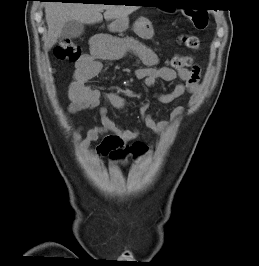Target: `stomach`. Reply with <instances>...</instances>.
<instances>
[{
	"label": "stomach",
	"mask_w": 259,
	"mask_h": 266,
	"mask_svg": "<svg viewBox=\"0 0 259 266\" xmlns=\"http://www.w3.org/2000/svg\"><path fill=\"white\" fill-rule=\"evenodd\" d=\"M128 23V18H120L115 20L110 25V29L114 32H124L128 28ZM134 31L139 37L143 39H149L154 34L151 23L145 18H141L135 23Z\"/></svg>",
	"instance_id": "obj_1"
}]
</instances>
